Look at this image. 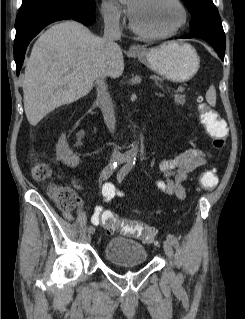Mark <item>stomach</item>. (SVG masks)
<instances>
[{"label":"stomach","instance_id":"stomach-1","mask_svg":"<svg viewBox=\"0 0 245 319\" xmlns=\"http://www.w3.org/2000/svg\"><path fill=\"white\" fill-rule=\"evenodd\" d=\"M138 59L157 74L174 82H185L198 71L200 58L188 43L168 42L137 53Z\"/></svg>","mask_w":245,"mask_h":319}]
</instances>
